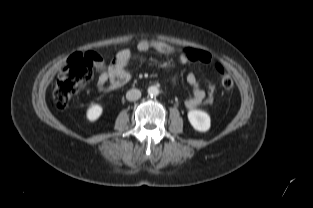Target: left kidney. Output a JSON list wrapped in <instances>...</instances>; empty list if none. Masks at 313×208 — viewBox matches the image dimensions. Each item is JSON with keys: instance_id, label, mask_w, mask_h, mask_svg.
I'll list each match as a JSON object with an SVG mask.
<instances>
[{"instance_id": "left-kidney-1", "label": "left kidney", "mask_w": 313, "mask_h": 208, "mask_svg": "<svg viewBox=\"0 0 313 208\" xmlns=\"http://www.w3.org/2000/svg\"><path fill=\"white\" fill-rule=\"evenodd\" d=\"M188 120L196 131L207 132L210 129V116L202 110H190L188 112Z\"/></svg>"}]
</instances>
